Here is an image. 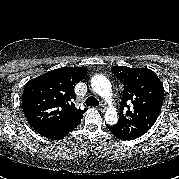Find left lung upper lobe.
Instances as JSON below:
<instances>
[{
  "instance_id": "5c2ea615",
  "label": "left lung upper lobe",
  "mask_w": 179,
  "mask_h": 179,
  "mask_svg": "<svg viewBox=\"0 0 179 179\" xmlns=\"http://www.w3.org/2000/svg\"><path fill=\"white\" fill-rule=\"evenodd\" d=\"M111 71L124 85V91L118 122L110 127L119 139H136L154 125L160 114L163 84L148 68L114 66Z\"/></svg>"
}]
</instances>
